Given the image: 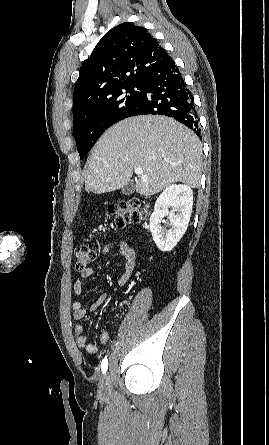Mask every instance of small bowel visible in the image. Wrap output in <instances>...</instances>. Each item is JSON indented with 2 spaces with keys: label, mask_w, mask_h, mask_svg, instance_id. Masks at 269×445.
<instances>
[{
  "label": "small bowel",
  "mask_w": 269,
  "mask_h": 445,
  "mask_svg": "<svg viewBox=\"0 0 269 445\" xmlns=\"http://www.w3.org/2000/svg\"><path fill=\"white\" fill-rule=\"evenodd\" d=\"M114 245L112 243L107 244L103 248V253L106 254L113 249ZM118 250L122 257L124 271L118 277V284L120 286L125 285L130 279L135 265H136V253L133 247L126 241H120L118 243ZM94 274V269L88 267L81 271L82 278H89ZM73 291L76 295H81L84 292V286L81 280L77 279L73 284ZM106 293H102L98 299L91 305V313L96 312V310L106 301ZM73 317L75 320L80 321L86 316V309L81 301H75L72 304ZM76 344L83 348L87 353L94 354L97 351V346L93 343L88 342L87 336L84 332V327L82 324H76L74 327ZM109 339V331L104 328L100 333V342L102 344L106 343Z\"/></svg>",
  "instance_id": "small-bowel-1"
}]
</instances>
